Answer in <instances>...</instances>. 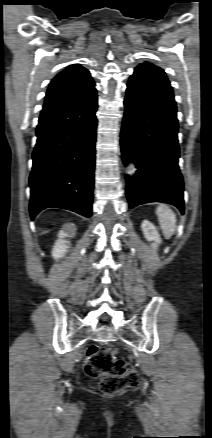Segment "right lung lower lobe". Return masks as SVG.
I'll list each match as a JSON object with an SVG mask.
<instances>
[{
  "label": "right lung lower lobe",
  "instance_id": "98d812e1",
  "mask_svg": "<svg viewBox=\"0 0 212 438\" xmlns=\"http://www.w3.org/2000/svg\"><path fill=\"white\" fill-rule=\"evenodd\" d=\"M97 95L55 108L39 118L30 174V216L46 208L92 215Z\"/></svg>",
  "mask_w": 212,
  "mask_h": 438
}]
</instances>
